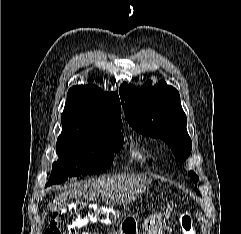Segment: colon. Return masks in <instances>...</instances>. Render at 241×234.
I'll return each mask as SVG.
<instances>
[{"instance_id": "colon-1", "label": "colon", "mask_w": 241, "mask_h": 234, "mask_svg": "<svg viewBox=\"0 0 241 234\" xmlns=\"http://www.w3.org/2000/svg\"><path fill=\"white\" fill-rule=\"evenodd\" d=\"M115 219V213L109 208L84 202L70 203L54 214L45 234H76L78 229L89 222L110 224ZM180 228L183 234H196L193 219L189 213L181 216Z\"/></svg>"}]
</instances>
